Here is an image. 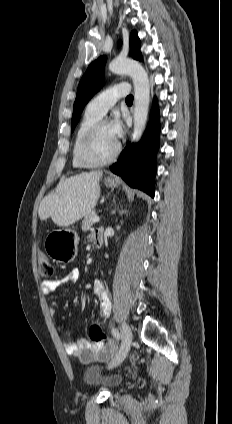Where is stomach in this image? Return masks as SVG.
I'll list each match as a JSON object with an SVG mask.
<instances>
[{"label": "stomach", "instance_id": "1", "mask_svg": "<svg viewBox=\"0 0 232 424\" xmlns=\"http://www.w3.org/2000/svg\"><path fill=\"white\" fill-rule=\"evenodd\" d=\"M104 184L108 188L117 187V181L106 178ZM78 236L71 229H59L50 232L44 242L46 253L56 262H71L77 253Z\"/></svg>", "mask_w": 232, "mask_h": 424}]
</instances>
